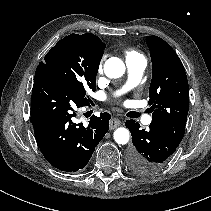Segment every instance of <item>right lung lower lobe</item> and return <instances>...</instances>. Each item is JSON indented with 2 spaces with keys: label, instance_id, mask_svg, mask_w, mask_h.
<instances>
[{
  "label": "right lung lower lobe",
  "instance_id": "98d812e1",
  "mask_svg": "<svg viewBox=\"0 0 211 211\" xmlns=\"http://www.w3.org/2000/svg\"><path fill=\"white\" fill-rule=\"evenodd\" d=\"M89 105L78 90L47 75H36L32 89L31 122L38 146L55 168L76 172L89 162L109 129L111 116H92L88 126L75 123L76 109Z\"/></svg>",
  "mask_w": 211,
  "mask_h": 211
}]
</instances>
